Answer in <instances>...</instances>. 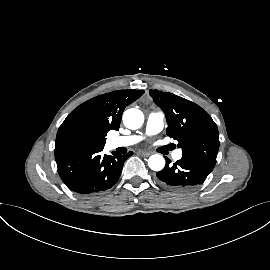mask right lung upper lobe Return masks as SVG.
<instances>
[{
	"mask_svg": "<svg viewBox=\"0 0 270 270\" xmlns=\"http://www.w3.org/2000/svg\"><path fill=\"white\" fill-rule=\"evenodd\" d=\"M144 90H118L94 97L74 109L60 126L55 151L60 134L75 127H85L99 139L106 141L105 136L110 130H118L122 114L126 106L137 100Z\"/></svg>",
	"mask_w": 270,
	"mask_h": 270,
	"instance_id": "1",
	"label": "right lung upper lobe"
}]
</instances>
